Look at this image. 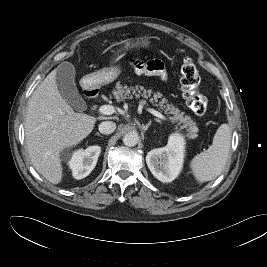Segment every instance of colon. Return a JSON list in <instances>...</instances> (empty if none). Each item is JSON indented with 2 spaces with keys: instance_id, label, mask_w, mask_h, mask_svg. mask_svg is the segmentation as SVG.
<instances>
[{
  "instance_id": "obj_1",
  "label": "colon",
  "mask_w": 267,
  "mask_h": 267,
  "mask_svg": "<svg viewBox=\"0 0 267 267\" xmlns=\"http://www.w3.org/2000/svg\"><path fill=\"white\" fill-rule=\"evenodd\" d=\"M181 90L189 109L196 115H203L207 111L208 100L200 93V76L192 59L185 58L181 65Z\"/></svg>"
}]
</instances>
